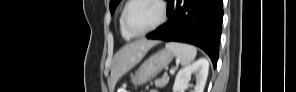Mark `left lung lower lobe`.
<instances>
[{
	"instance_id": "obj_1",
	"label": "left lung lower lobe",
	"mask_w": 296,
	"mask_h": 92,
	"mask_svg": "<svg viewBox=\"0 0 296 92\" xmlns=\"http://www.w3.org/2000/svg\"><path fill=\"white\" fill-rule=\"evenodd\" d=\"M168 3L169 21L147 38L198 46L209 55L215 67L219 57L223 0H169Z\"/></svg>"
}]
</instances>
